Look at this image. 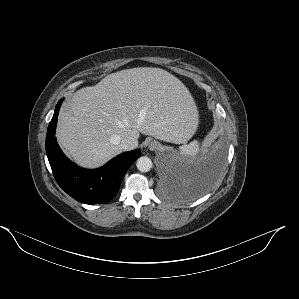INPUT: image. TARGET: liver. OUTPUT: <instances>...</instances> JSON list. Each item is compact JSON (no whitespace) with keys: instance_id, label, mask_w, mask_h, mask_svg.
<instances>
[{"instance_id":"liver-1","label":"liver","mask_w":299,"mask_h":299,"mask_svg":"<svg viewBox=\"0 0 299 299\" xmlns=\"http://www.w3.org/2000/svg\"><path fill=\"white\" fill-rule=\"evenodd\" d=\"M186 86L169 72L138 67L112 73L76 91L60 113L56 137L82 167L96 168L122 152L120 141L140 133L185 143L198 126Z\"/></svg>"}]
</instances>
